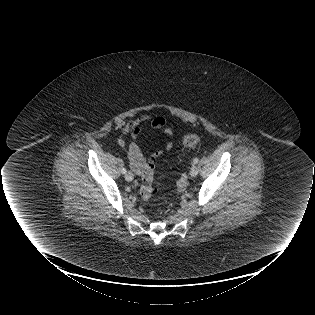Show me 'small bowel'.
I'll return each mask as SVG.
<instances>
[{"mask_svg":"<svg viewBox=\"0 0 315 315\" xmlns=\"http://www.w3.org/2000/svg\"><path fill=\"white\" fill-rule=\"evenodd\" d=\"M151 127L155 130L161 131L163 134L172 137L173 131L168 126L167 120L158 115L142 114L132 121H129L123 125V132L130 133L133 141L129 145L128 156L131 168L137 174H140L142 168L146 164V160L141 152L140 146L137 143V138L140 135L142 129ZM174 147V143L168 140L164 144V150L170 151ZM163 154V150L158 149L152 152L151 156L157 158Z\"/></svg>","mask_w":315,"mask_h":315,"instance_id":"small-bowel-1","label":"small bowel"}]
</instances>
